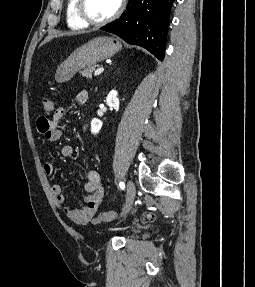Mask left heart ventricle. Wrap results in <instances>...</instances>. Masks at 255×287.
I'll return each instance as SVG.
<instances>
[{
	"label": "left heart ventricle",
	"mask_w": 255,
	"mask_h": 287,
	"mask_svg": "<svg viewBox=\"0 0 255 287\" xmlns=\"http://www.w3.org/2000/svg\"><path fill=\"white\" fill-rule=\"evenodd\" d=\"M94 33H119V32H94ZM96 39H109V38H96ZM96 48H129V47H96Z\"/></svg>",
	"instance_id": "b2bd125f"
}]
</instances>
